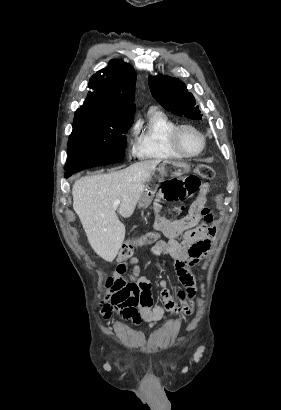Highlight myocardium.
I'll return each mask as SVG.
<instances>
[{
	"mask_svg": "<svg viewBox=\"0 0 281 410\" xmlns=\"http://www.w3.org/2000/svg\"><path fill=\"white\" fill-rule=\"evenodd\" d=\"M186 130H192L196 132L201 138V147L196 152L187 151L181 141L182 133ZM171 143L175 150H177L184 157H196L200 155L206 148V136L205 134L195 125L192 124H181L178 125L171 134Z\"/></svg>",
	"mask_w": 281,
	"mask_h": 410,
	"instance_id": "f54148a6",
	"label": "myocardium"
}]
</instances>
